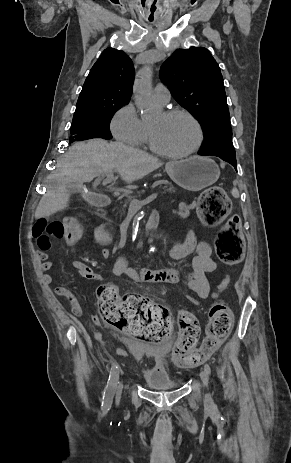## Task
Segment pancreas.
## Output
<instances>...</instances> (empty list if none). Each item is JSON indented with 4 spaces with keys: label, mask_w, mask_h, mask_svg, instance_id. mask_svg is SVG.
<instances>
[{
    "label": "pancreas",
    "mask_w": 291,
    "mask_h": 463,
    "mask_svg": "<svg viewBox=\"0 0 291 463\" xmlns=\"http://www.w3.org/2000/svg\"><path fill=\"white\" fill-rule=\"evenodd\" d=\"M156 185H159V192L164 195V194H178V189L172 184V183H167L165 180L157 181L155 183ZM140 193H144V190L141 192H138L136 195L131 196L130 198H136L140 196Z\"/></svg>",
    "instance_id": "1"
}]
</instances>
